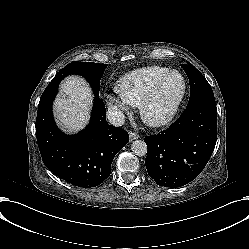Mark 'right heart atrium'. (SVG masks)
Returning a JSON list of instances; mask_svg holds the SVG:
<instances>
[{
  "mask_svg": "<svg viewBox=\"0 0 249 249\" xmlns=\"http://www.w3.org/2000/svg\"><path fill=\"white\" fill-rule=\"evenodd\" d=\"M110 107L116 115L123 116L129 113L130 106L122 97H114L110 101Z\"/></svg>",
  "mask_w": 249,
  "mask_h": 249,
  "instance_id": "obj_1",
  "label": "right heart atrium"
}]
</instances>
